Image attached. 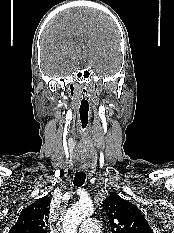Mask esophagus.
Masks as SVG:
<instances>
[{
    "instance_id": "esophagus-1",
    "label": "esophagus",
    "mask_w": 174,
    "mask_h": 233,
    "mask_svg": "<svg viewBox=\"0 0 174 233\" xmlns=\"http://www.w3.org/2000/svg\"><path fill=\"white\" fill-rule=\"evenodd\" d=\"M85 169L84 168H80V171H84Z\"/></svg>"
}]
</instances>
